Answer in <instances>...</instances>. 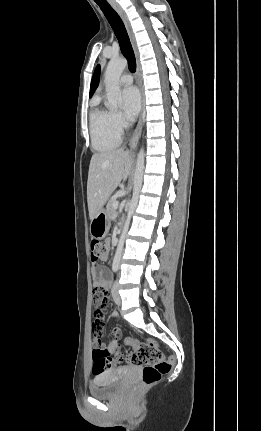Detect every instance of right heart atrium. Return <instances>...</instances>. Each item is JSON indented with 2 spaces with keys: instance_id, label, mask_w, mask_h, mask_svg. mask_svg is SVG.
Wrapping results in <instances>:
<instances>
[{
  "instance_id": "1",
  "label": "right heart atrium",
  "mask_w": 261,
  "mask_h": 431,
  "mask_svg": "<svg viewBox=\"0 0 261 431\" xmlns=\"http://www.w3.org/2000/svg\"><path fill=\"white\" fill-rule=\"evenodd\" d=\"M111 120L114 128L119 132L125 128L126 123L119 113L111 112Z\"/></svg>"
}]
</instances>
